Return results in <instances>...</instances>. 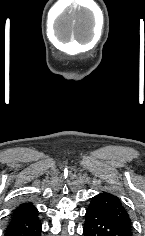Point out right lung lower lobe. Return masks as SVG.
I'll return each mask as SVG.
<instances>
[{
    "mask_svg": "<svg viewBox=\"0 0 145 236\" xmlns=\"http://www.w3.org/2000/svg\"><path fill=\"white\" fill-rule=\"evenodd\" d=\"M41 222L35 207L15 212L11 215L5 236H41Z\"/></svg>",
    "mask_w": 145,
    "mask_h": 236,
    "instance_id": "1",
    "label": "right lung lower lobe"
}]
</instances>
